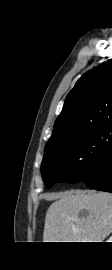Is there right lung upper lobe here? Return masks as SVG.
Instances as JSON below:
<instances>
[{"mask_svg": "<svg viewBox=\"0 0 112 270\" xmlns=\"http://www.w3.org/2000/svg\"><path fill=\"white\" fill-rule=\"evenodd\" d=\"M112 123V59L86 72L67 95L45 149Z\"/></svg>", "mask_w": 112, "mask_h": 270, "instance_id": "obj_1", "label": "right lung upper lobe"}]
</instances>
